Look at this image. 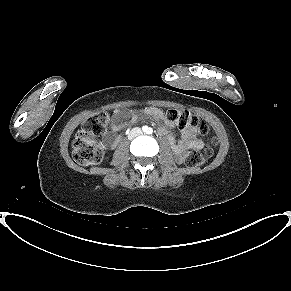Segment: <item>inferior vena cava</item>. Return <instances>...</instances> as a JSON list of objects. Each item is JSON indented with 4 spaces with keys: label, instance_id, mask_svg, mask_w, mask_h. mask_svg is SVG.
<instances>
[{
    "label": "inferior vena cava",
    "instance_id": "obj_1",
    "mask_svg": "<svg viewBox=\"0 0 291 291\" xmlns=\"http://www.w3.org/2000/svg\"><path fill=\"white\" fill-rule=\"evenodd\" d=\"M141 133H142L141 129L139 127H135V128L130 130V132L128 134V138L132 139L136 136H139Z\"/></svg>",
    "mask_w": 291,
    "mask_h": 291
}]
</instances>
